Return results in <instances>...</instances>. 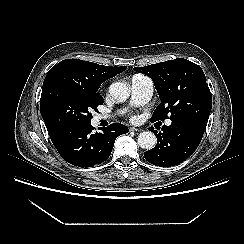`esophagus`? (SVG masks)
Wrapping results in <instances>:
<instances>
[{
	"label": "esophagus",
	"mask_w": 244,
	"mask_h": 244,
	"mask_svg": "<svg viewBox=\"0 0 244 244\" xmlns=\"http://www.w3.org/2000/svg\"><path fill=\"white\" fill-rule=\"evenodd\" d=\"M129 130L131 132H138V131H140V129L139 128H136V127H130Z\"/></svg>",
	"instance_id": "34e87169"
}]
</instances>
